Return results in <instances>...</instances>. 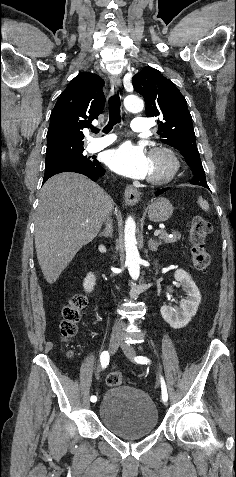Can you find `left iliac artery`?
<instances>
[{
	"mask_svg": "<svg viewBox=\"0 0 236 477\" xmlns=\"http://www.w3.org/2000/svg\"><path fill=\"white\" fill-rule=\"evenodd\" d=\"M135 361L139 364L150 363V360L147 357H144V356L135 357ZM160 381H161L162 399H163V401H167L168 400V393H167V388H166L165 381H164L162 376L160 377Z\"/></svg>",
	"mask_w": 236,
	"mask_h": 477,
	"instance_id": "obj_1",
	"label": "left iliac artery"
}]
</instances>
